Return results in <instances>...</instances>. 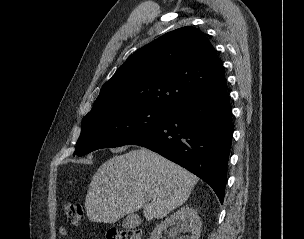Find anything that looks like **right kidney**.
Returning a JSON list of instances; mask_svg holds the SVG:
<instances>
[{
  "label": "right kidney",
  "instance_id": "obj_1",
  "mask_svg": "<svg viewBox=\"0 0 304 239\" xmlns=\"http://www.w3.org/2000/svg\"><path fill=\"white\" fill-rule=\"evenodd\" d=\"M168 227H172L169 233L171 239H199L201 233L200 218L197 211L190 206L182 207L161 221L154 228L150 239H159L162 232Z\"/></svg>",
  "mask_w": 304,
  "mask_h": 239
}]
</instances>
